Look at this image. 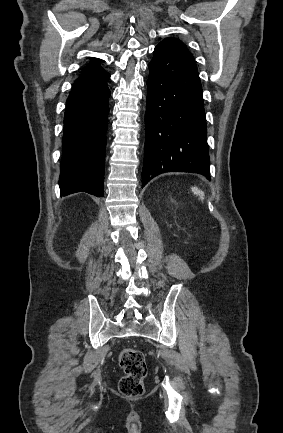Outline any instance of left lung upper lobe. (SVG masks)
<instances>
[{"mask_svg":"<svg viewBox=\"0 0 283 433\" xmlns=\"http://www.w3.org/2000/svg\"><path fill=\"white\" fill-rule=\"evenodd\" d=\"M159 44H173V45L185 47L184 43L181 42L179 39H176V38H166V39L162 40Z\"/></svg>","mask_w":283,"mask_h":433,"instance_id":"1","label":"left lung upper lobe"}]
</instances>
